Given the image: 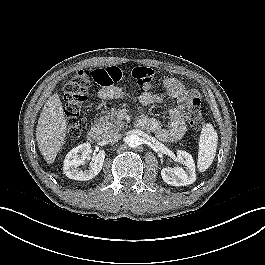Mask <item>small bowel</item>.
<instances>
[{"label": "small bowel", "mask_w": 265, "mask_h": 265, "mask_svg": "<svg viewBox=\"0 0 265 265\" xmlns=\"http://www.w3.org/2000/svg\"><path fill=\"white\" fill-rule=\"evenodd\" d=\"M141 71V75L145 78L141 82V89L139 94V102L142 107L151 104L160 103L162 98L151 92V74L148 68H136ZM134 69V70H136ZM164 87L166 92L177 100L178 105L169 111L170 126L165 127L160 120L149 118L145 114H141L138 120V125L145 127L154 132L158 138L163 141L176 142L179 141L185 134L186 125L184 121L183 110L191 100L196 97V92L188 90L180 81L175 78H167L164 80ZM102 99H118L123 95L121 88L110 85L104 86L98 93Z\"/></svg>", "instance_id": "1"}]
</instances>
